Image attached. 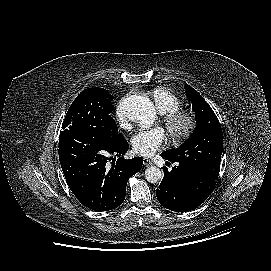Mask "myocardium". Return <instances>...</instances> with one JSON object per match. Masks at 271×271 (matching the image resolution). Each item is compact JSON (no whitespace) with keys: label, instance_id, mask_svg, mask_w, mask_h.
<instances>
[{"label":"myocardium","instance_id":"f54148a6","mask_svg":"<svg viewBox=\"0 0 271 271\" xmlns=\"http://www.w3.org/2000/svg\"><path fill=\"white\" fill-rule=\"evenodd\" d=\"M163 122L175 142L189 138L197 127V121L193 114L185 111H173L163 115Z\"/></svg>","mask_w":271,"mask_h":271}]
</instances>
